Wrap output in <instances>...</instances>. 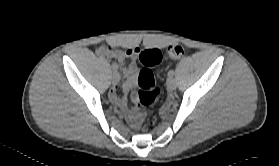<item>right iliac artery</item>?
<instances>
[{
  "label": "right iliac artery",
  "instance_id": "82829eb1",
  "mask_svg": "<svg viewBox=\"0 0 279 166\" xmlns=\"http://www.w3.org/2000/svg\"><path fill=\"white\" fill-rule=\"evenodd\" d=\"M112 69L114 72H116L118 70V66L116 64H112Z\"/></svg>",
  "mask_w": 279,
  "mask_h": 166
}]
</instances>
